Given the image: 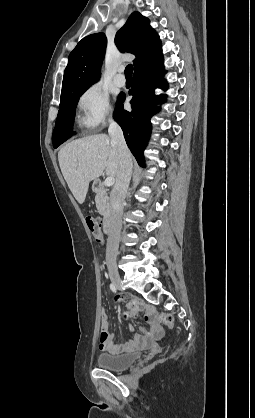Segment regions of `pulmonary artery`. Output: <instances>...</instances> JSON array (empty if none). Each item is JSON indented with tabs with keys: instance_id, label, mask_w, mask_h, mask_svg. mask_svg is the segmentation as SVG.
<instances>
[{
	"instance_id": "pulmonary-artery-1",
	"label": "pulmonary artery",
	"mask_w": 255,
	"mask_h": 418,
	"mask_svg": "<svg viewBox=\"0 0 255 418\" xmlns=\"http://www.w3.org/2000/svg\"><path fill=\"white\" fill-rule=\"evenodd\" d=\"M123 71H124V68L119 67L118 73L114 77L115 84L120 87L124 86L126 83V79H125V76L123 75Z\"/></svg>"
}]
</instances>
